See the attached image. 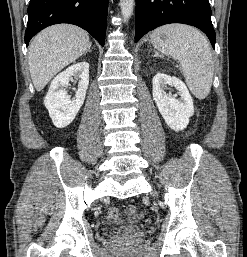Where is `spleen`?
I'll return each instance as SVG.
<instances>
[{
    "label": "spleen",
    "instance_id": "obj_1",
    "mask_svg": "<svg viewBox=\"0 0 247 257\" xmlns=\"http://www.w3.org/2000/svg\"><path fill=\"white\" fill-rule=\"evenodd\" d=\"M152 45L161 53L177 60L191 92L204 99L213 81L211 46L197 29L182 25H164L153 31Z\"/></svg>",
    "mask_w": 247,
    "mask_h": 257
}]
</instances>
